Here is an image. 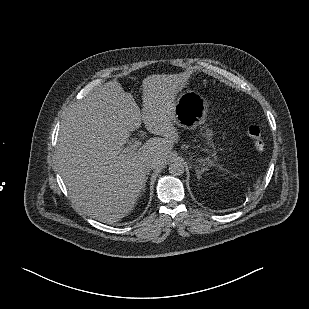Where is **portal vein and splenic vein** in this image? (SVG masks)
<instances>
[{"instance_id": "18ae733b", "label": "portal vein and splenic vein", "mask_w": 309, "mask_h": 309, "mask_svg": "<svg viewBox=\"0 0 309 309\" xmlns=\"http://www.w3.org/2000/svg\"><path fill=\"white\" fill-rule=\"evenodd\" d=\"M140 146H141V142H140V141H137V142H135L134 144H132V146H131L130 149L136 150V149L139 148Z\"/></svg>"}]
</instances>
